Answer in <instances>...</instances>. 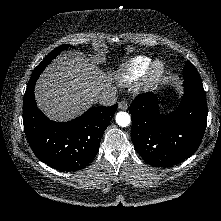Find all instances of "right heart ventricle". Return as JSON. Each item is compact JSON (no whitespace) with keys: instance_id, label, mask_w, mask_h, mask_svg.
Listing matches in <instances>:
<instances>
[{"instance_id":"right-heart-ventricle-1","label":"right heart ventricle","mask_w":221,"mask_h":221,"mask_svg":"<svg viewBox=\"0 0 221 221\" xmlns=\"http://www.w3.org/2000/svg\"><path fill=\"white\" fill-rule=\"evenodd\" d=\"M151 65L147 56H135L128 59L118 72V81L122 85H131L144 76Z\"/></svg>"}]
</instances>
